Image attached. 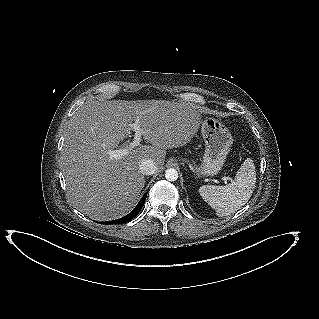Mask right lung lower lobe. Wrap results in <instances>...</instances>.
Returning a JSON list of instances; mask_svg holds the SVG:
<instances>
[{
	"mask_svg": "<svg viewBox=\"0 0 319 319\" xmlns=\"http://www.w3.org/2000/svg\"><path fill=\"white\" fill-rule=\"evenodd\" d=\"M146 196L147 194H145L142 199L140 200V202L138 203V205L128 214L126 215L125 217H122L120 219H117V220H113V221H108V222H103L106 223V224H123V223H126V222H129L130 220H132L136 215H138V213L140 212V210L142 209L144 203H145V200H146Z\"/></svg>",
	"mask_w": 319,
	"mask_h": 319,
	"instance_id": "obj_1",
	"label": "right lung lower lobe"
}]
</instances>
